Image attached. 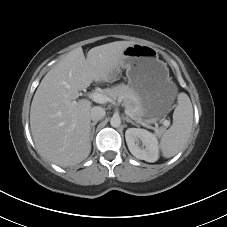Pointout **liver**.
I'll list each match as a JSON object with an SVG mask.
<instances>
[{
	"instance_id": "liver-1",
	"label": "liver",
	"mask_w": 227,
	"mask_h": 227,
	"mask_svg": "<svg viewBox=\"0 0 227 227\" xmlns=\"http://www.w3.org/2000/svg\"><path fill=\"white\" fill-rule=\"evenodd\" d=\"M131 41H116L70 51L42 79L30 108V127L40 154L61 166H73L91 151V102L79 91L95 82H109Z\"/></svg>"
}]
</instances>
